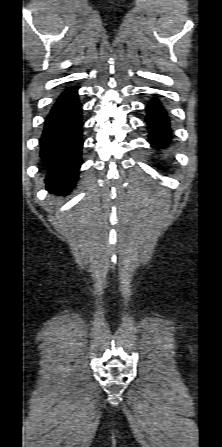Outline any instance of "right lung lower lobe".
I'll use <instances>...</instances> for the list:
<instances>
[{
	"label": "right lung lower lobe",
	"mask_w": 222,
	"mask_h": 447,
	"mask_svg": "<svg viewBox=\"0 0 222 447\" xmlns=\"http://www.w3.org/2000/svg\"><path fill=\"white\" fill-rule=\"evenodd\" d=\"M82 104L76 88H66L52 104L40 139V157L47 169L46 189L56 194L72 190L81 166Z\"/></svg>",
	"instance_id": "98d812e1"
}]
</instances>
